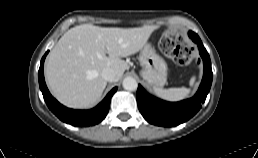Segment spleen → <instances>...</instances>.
Listing matches in <instances>:
<instances>
[{
	"instance_id": "obj_1",
	"label": "spleen",
	"mask_w": 258,
	"mask_h": 158,
	"mask_svg": "<svg viewBox=\"0 0 258 158\" xmlns=\"http://www.w3.org/2000/svg\"><path fill=\"white\" fill-rule=\"evenodd\" d=\"M195 80L194 76L190 79V86L194 85ZM153 91L158 97L168 101H180L187 98L190 94V89L186 87L163 89L154 86Z\"/></svg>"
}]
</instances>
